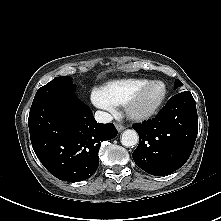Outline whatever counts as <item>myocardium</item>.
<instances>
[{
	"instance_id": "myocardium-1",
	"label": "myocardium",
	"mask_w": 221,
	"mask_h": 221,
	"mask_svg": "<svg viewBox=\"0 0 221 221\" xmlns=\"http://www.w3.org/2000/svg\"><path fill=\"white\" fill-rule=\"evenodd\" d=\"M160 85L162 87V94L157 100V102L152 105L150 108L146 110H139L138 106L140 103V100L145 93L147 89H149L151 86ZM167 86L166 84L161 80H151L141 86L135 94L126 102L124 105L125 108V114L126 116L136 122H144L148 121L152 118H154L159 110L161 109L162 105L164 104L166 97H167Z\"/></svg>"
}]
</instances>
